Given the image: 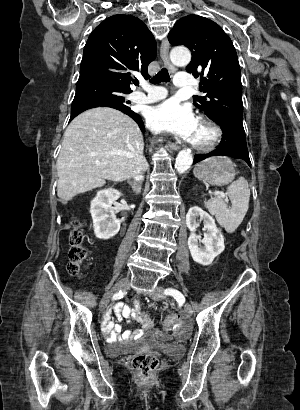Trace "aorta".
I'll use <instances>...</instances> for the list:
<instances>
[{"label": "aorta", "instance_id": "1", "mask_svg": "<svg viewBox=\"0 0 300 410\" xmlns=\"http://www.w3.org/2000/svg\"><path fill=\"white\" fill-rule=\"evenodd\" d=\"M171 61L175 65L185 66L191 60V53L187 48L177 47L171 50ZM193 163V156L190 150H182L178 153L175 168L178 173H184Z\"/></svg>", "mask_w": 300, "mask_h": 410}]
</instances>
